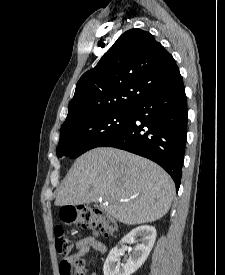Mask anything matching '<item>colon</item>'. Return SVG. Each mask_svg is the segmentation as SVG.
I'll return each instance as SVG.
<instances>
[{"label": "colon", "mask_w": 225, "mask_h": 275, "mask_svg": "<svg viewBox=\"0 0 225 275\" xmlns=\"http://www.w3.org/2000/svg\"><path fill=\"white\" fill-rule=\"evenodd\" d=\"M61 218L65 222H75L79 228L94 229L102 235H111L118 231V224L111 216L90 206L63 209ZM55 248L62 256H67L73 248V242L64 235L62 228H58L55 232ZM60 273L85 275L84 264L78 259L74 262L63 259L60 263Z\"/></svg>", "instance_id": "colon-1"}]
</instances>
